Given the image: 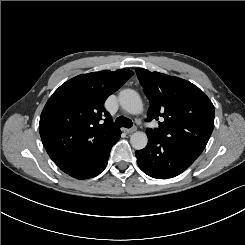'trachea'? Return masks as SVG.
<instances>
[{
  "mask_svg": "<svg viewBox=\"0 0 245 245\" xmlns=\"http://www.w3.org/2000/svg\"><path fill=\"white\" fill-rule=\"evenodd\" d=\"M115 126L116 127L131 128L133 126V122L124 116H120L116 119Z\"/></svg>",
  "mask_w": 245,
  "mask_h": 245,
  "instance_id": "trachea-1",
  "label": "trachea"
}]
</instances>
